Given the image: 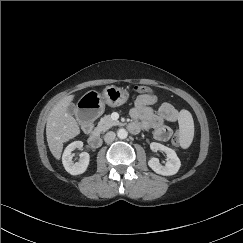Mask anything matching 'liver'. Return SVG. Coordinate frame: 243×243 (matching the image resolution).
Listing matches in <instances>:
<instances>
[{"label": "liver", "mask_w": 243, "mask_h": 243, "mask_svg": "<svg viewBox=\"0 0 243 243\" xmlns=\"http://www.w3.org/2000/svg\"><path fill=\"white\" fill-rule=\"evenodd\" d=\"M74 95L65 96L50 111L46 124V137L49 149L56 159H60L63 143L80 134V128L70 114L67 107Z\"/></svg>", "instance_id": "obj_1"}]
</instances>
